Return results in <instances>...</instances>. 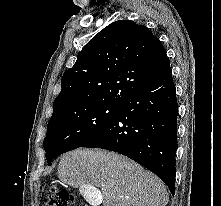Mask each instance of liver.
Segmentation results:
<instances>
[{
	"instance_id": "liver-1",
	"label": "liver",
	"mask_w": 221,
	"mask_h": 206,
	"mask_svg": "<svg viewBox=\"0 0 221 206\" xmlns=\"http://www.w3.org/2000/svg\"><path fill=\"white\" fill-rule=\"evenodd\" d=\"M59 179L89 192L102 190L103 206H166L164 183L138 163L120 154L100 149L79 148L64 154L58 166Z\"/></svg>"
}]
</instances>
